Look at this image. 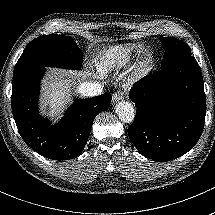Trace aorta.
<instances>
[{"instance_id":"762f6f07","label":"aorta","mask_w":215,"mask_h":215,"mask_svg":"<svg viewBox=\"0 0 215 215\" xmlns=\"http://www.w3.org/2000/svg\"><path fill=\"white\" fill-rule=\"evenodd\" d=\"M116 114L119 119L126 123L130 124L134 121L136 116V111L134 110L133 106L127 102H121L116 104Z\"/></svg>"}]
</instances>
